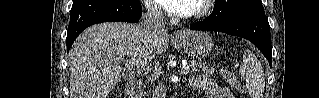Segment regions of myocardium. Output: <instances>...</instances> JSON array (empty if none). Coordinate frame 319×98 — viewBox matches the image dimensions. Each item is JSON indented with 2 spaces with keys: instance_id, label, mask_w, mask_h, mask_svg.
<instances>
[{
  "instance_id": "obj_1",
  "label": "myocardium",
  "mask_w": 319,
  "mask_h": 98,
  "mask_svg": "<svg viewBox=\"0 0 319 98\" xmlns=\"http://www.w3.org/2000/svg\"><path fill=\"white\" fill-rule=\"evenodd\" d=\"M211 0H198L195 1L194 6L191 12L188 14V17L191 18H200L207 14L210 8Z\"/></svg>"
}]
</instances>
